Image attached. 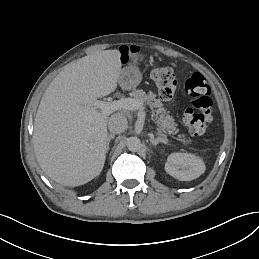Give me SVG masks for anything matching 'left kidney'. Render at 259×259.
Returning a JSON list of instances; mask_svg holds the SVG:
<instances>
[{
    "instance_id": "1",
    "label": "left kidney",
    "mask_w": 259,
    "mask_h": 259,
    "mask_svg": "<svg viewBox=\"0 0 259 259\" xmlns=\"http://www.w3.org/2000/svg\"><path fill=\"white\" fill-rule=\"evenodd\" d=\"M165 171L180 181H191L205 172V164L193 154L172 153L165 163Z\"/></svg>"
}]
</instances>
